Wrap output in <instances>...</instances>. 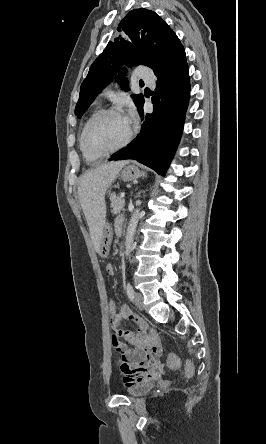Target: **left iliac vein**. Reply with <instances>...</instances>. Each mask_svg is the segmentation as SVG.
I'll list each match as a JSON object with an SVG mask.
<instances>
[{
	"instance_id": "4c4485c4",
	"label": "left iliac vein",
	"mask_w": 266,
	"mask_h": 444,
	"mask_svg": "<svg viewBox=\"0 0 266 444\" xmlns=\"http://www.w3.org/2000/svg\"><path fill=\"white\" fill-rule=\"evenodd\" d=\"M134 303L135 306L139 309V310H143L144 306H143V297L141 295V293L136 292L134 295Z\"/></svg>"
}]
</instances>
